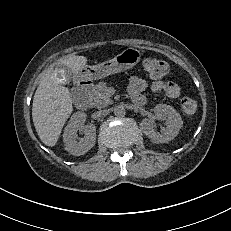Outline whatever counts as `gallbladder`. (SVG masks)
Returning <instances> with one entry per match:
<instances>
[{
  "instance_id": "gallbladder-1",
  "label": "gallbladder",
  "mask_w": 231,
  "mask_h": 231,
  "mask_svg": "<svg viewBox=\"0 0 231 231\" xmlns=\"http://www.w3.org/2000/svg\"><path fill=\"white\" fill-rule=\"evenodd\" d=\"M52 79L60 84H68L70 80V71L64 66H59L53 69Z\"/></svg>"
}]
</instances>
